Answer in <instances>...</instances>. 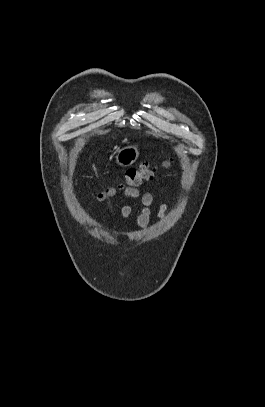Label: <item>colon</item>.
<instances>
[{
	"label": "colon",
	"mask_w": 265,
	"mask_h": 407,
	"mask_svg": "<svg viewBox=\"0 0 265 407\" xmlns=\"http://www.w3.org/2000/svg\"><path fill=\"white\" fill-rule=\"evenodd\" d=\"M170 165V160H164L162 166L167 167ZM158 167L152 162L146 161L141 163L138 168H130L125 172V184L127 187L137 188L143 182L150 180L156 173ZM114 190L106 189L99 193V199H105L113 195Z\"/></svg>",
	"instance_id": "1"
}]
</instances>
